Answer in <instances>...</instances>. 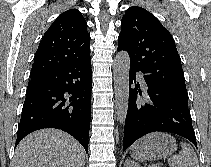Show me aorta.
<instances>
[{"instance_id": "obj_1", "label": "aorta", "mask_w": 211, "mask_h": 167, "mask_svg": "<svg viewBox=\"0 0 211 167\" xmlns=\"http://www.w3.org/2000/svg\"><path fill=\"white\" fill-rule=\"evenodd\" d=\"M129 69L128 53L126 51L119 52L114 59L113 78L117 119L122 125L125 123L128 111Z\"/></svg>"}]
</instances>
